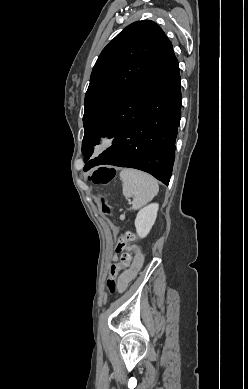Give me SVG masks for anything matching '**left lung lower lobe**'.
I'll use <instances>...</instances> for the list:
<instances>
[{"label":"left lung lower lobe","instance_id":"obj_1","mask_svg":"<svg viewBox=\"0 0 248 389\" xmlns=\"http://www.w3.org/2000/svg\"><path fill=\"white\" fill-rule=\"evenodd\" d=\"M181 78L172 45L112 109L100 136L113 145L84 170L101 164L136 168L168 185L181 118Z\"/></svg>","mask_w":248,"mask_h":389}]
</instances>
